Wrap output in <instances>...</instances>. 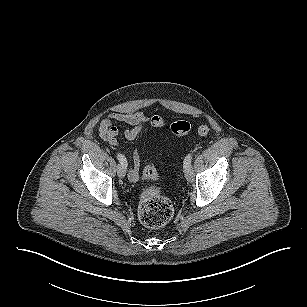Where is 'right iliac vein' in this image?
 I'll return each instance as SVG.
<instances>
[{
	"mask_svg": "<svg viewBox=\"0 0 307 307\" xmlns=\"http://www.w3.org/2000/svg\"><path fill=\"white\" fill-rule=\"evenodd\" d=\"M117 174L120 178H123L126 174V169L121 164L117 166Z\"/></svg>",
	"mask_w": 307,
	"mask_h": 307,
	"instance_id": "1",
	"label": "right iliac vein"
}]
</instances>
